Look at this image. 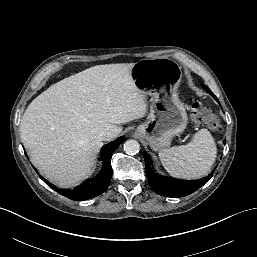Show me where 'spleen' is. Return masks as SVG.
Masks as SVG:
<instances>
[{"label": "spleen", "instance_id": "obj_1", "mask_svg": "<svg viewBox=\"0 0 257 257\" xmlns=\"http://www.w3.org/2000/svg\"><path fill=\"white\" fill-rule=\"evenodd\" d=\"M217 148L211 133L201 129L191 142L159 151L165 170L176 178L198 179L205 176L215 162Z\"/></svg>", "mask_w": 257, "mask_h": 257}]
</instances>
